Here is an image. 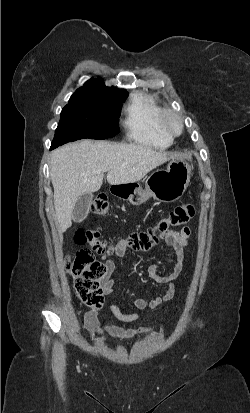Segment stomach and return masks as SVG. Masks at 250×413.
I'll return each instance as SVG.
<instances>
[{
	"instance_id": "obj_1",
	"label": "stomach",
	"mask_w": 250,
	"mask_h": 413,
	"mask_svg": "<svg viewBox=\"0 0 250 413\" xmlns=\"http://www.w3.org/2000/svg\"><path fill=\"white\" fill-rule=\"evenodd\" d=\"M191 177V167L182 158L172 159L166 170L151 174L143 189L137 182L121 185L115 194L134 206L144 204L150 197L158 202H174L185 193Z\"/></svg>"
}]
</instances>
